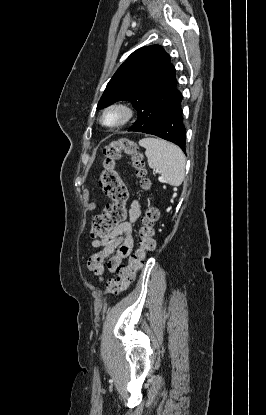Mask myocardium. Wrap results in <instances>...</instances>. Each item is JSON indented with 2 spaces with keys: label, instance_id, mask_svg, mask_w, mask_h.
Here are the masks:
<instances>
[{
  "label": "myocardium",
  "instance_id": "f54148a6",
  "mask_svg": "<svg viewBox=\"0 0 266 415\" xmlns=\"http://www.w3.org/2000/svg\"><path fill=\"white\" fill-rule=\"evenodd\" d=\"M109 114H116L118 116L116 122L108 123L106 122V117ZM133 117L132 109L124 103H113L107 106L101 114L100 121L101 123L108 128H119L127 124Z\"/></svg>",
  "mask_w": 266,
  "mask_h": 415
}]
</instances>
